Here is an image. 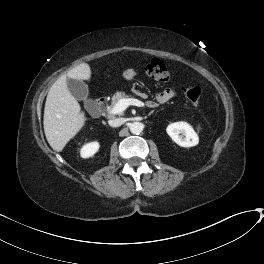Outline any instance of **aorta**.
I'll list each match as a JSON object with an SVG mask.
<instances>
[{
	"label": "aorta",
	"mask_w": 264,
	"mask_h": 264,
	"mask_svg": "<svg viewBox=\"0 0 264 264\" xmlns=\"http://www.w3.org/2000/svg\"><path fill=\"white\" fill-rule=\"evenodd\" d=\"M143 130V124L140 122H133L130 125V131L133 134H140Z\"/></svg>",
	"instance_id": "1"
}]
</instances>
